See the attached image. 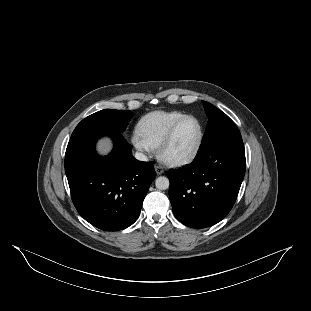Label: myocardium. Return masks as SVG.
Here are the masks:
<instances>
[{
	"label": "myocardium",
	"instance_id": "obj_1",
	"mask_svg": "<svg viewBox=\"0 0 311 311\" xmlns=\"http://www.w3.org/2000/svg\"><path fill=\"white\" fill-rule=\"evenodd\" d=\"M189 119L196 120L198 125H199V137H198V141H197L195 149L189 155H187L185 157L167 159L164 156L166 149L173 143L175 136H176V133H177L178 129L180 128V126ZM203 141H204V127H203L202 121L197 116L186 115V116L182 117L181 119H179L172 126V128L169 130V132L166 134V136L162 139V141L160 142V144L157 147V154H158L159 159L164 164H166L168 166H171V167L183 166V165L191 163L192 161H194L197 158V156L199 155V153L201 151Z\"/></svg>",
	"mask_w": 311,
	"mask_h": 311
}]
</instances>
